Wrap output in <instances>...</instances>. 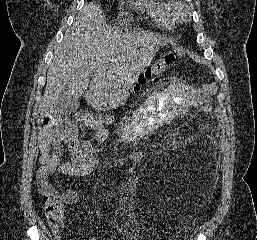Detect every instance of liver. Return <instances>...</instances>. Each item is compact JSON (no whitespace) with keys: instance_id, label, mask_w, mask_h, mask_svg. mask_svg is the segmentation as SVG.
Returning a JSON list of instances; mask_svg holds the SVG:
<instances>
[{"instance_id":"obj_1","label":"liver","mask_w":257,"mask_h":240,"mask_svg":"<svg viewBox=\"0 0 257 240\" xmlns=\"http://www.w3.org/2000/svg\"><path fill=\"white\" fill-rule=\"evenodd\" d=\"M164 45L163 39L152 34L122 33L107 26L102 8L86 4L55 49L39 106L41 116L54 113L64 89L75 99L85 94L87 104L96 110L122 105L140 73Z\"/></svg>"}]
</instances>
